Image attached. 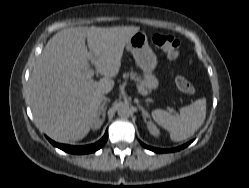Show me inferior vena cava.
Listing matches in <instances>:
<instances>
[{"instance_id":"602c4592","label":"inferior vena cava","mask_w":249,"mask_h":188,"mask_svg":"<svg viewBox=\"0 0 249 188\" xmlns=\"http://www.w3.org/2000/svg\"><path fill=\"white\" fill-rule=\"evenodd\" d=\"M106 99H108V98H106L105 96H102V97L100 98L101 101H105Z\"/></svg>"}]
</instances>
